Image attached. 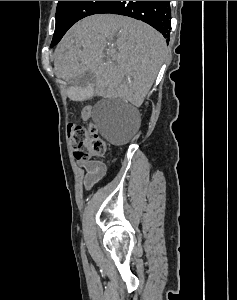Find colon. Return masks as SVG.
I'll use <instances>...</instances> for the list:
<instances>
[{"instance_id": "5ec220e1", "label": "colon", "mask_w": 237, "mask_h": 300, "mask_svg": "<svg viewBox=\"0 0 237 300\" xmlns=\"http://www.w3.org/2000/svg\"><path fill=\"white\" fill-rule=\"evenodd\" d=\"M68 138L78 160H90L104 156L107 144L98 135L94 125H70Z\"/></svg>"}]
</instances>
